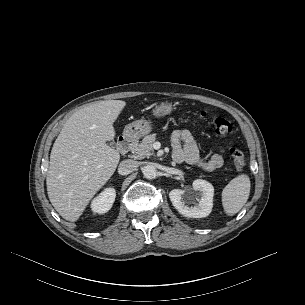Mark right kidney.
Instances as JSON below:
<instances>
[{
    "label": "right kidney",
    "instance_id": "1",
    "mask_svg": "<svg viewBox=\"0 0 305 305\" xmlns=\"http://www.w3.org/2000/svg\"><path fill=\"white\" fill-rule=\"evenodd\" d=\"M116 197V191L114 188H106L91 203V209L94 213L104 214L108 212Z\"/></svg>",
    "mask_w": 305,
    "mask_h": 305
}]
</instances>
